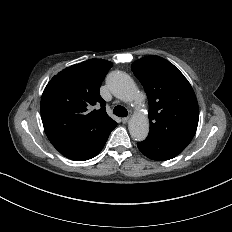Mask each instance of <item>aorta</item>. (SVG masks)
<instances>
[{
	"instance_id": "aorta-1",
	"label": "aorta",
	"mask_w": 232,
	"mask_h": 232,
	"mask_svg": "<svg viewBox=\"0 0 232 232\" xmlns=\"http://www.w3.org/2000/svg\"><path fill=\"white\" fill-rule=\"evenodd\" d=\"M107 85L112 94L124 102L140 104L145 98V95L138 90L134 80L124 72H111L107 77ZM128 128L133 139L145 140L149 133V119L145 114L137 112L130 118Z\"/></svg>"
}]
</instances>
